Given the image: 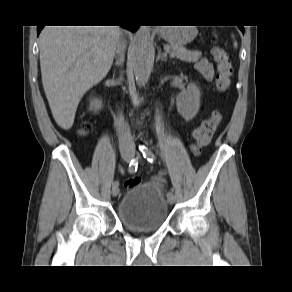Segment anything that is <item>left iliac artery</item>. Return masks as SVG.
I'll return each mask as SVG.
<instances>
[{
  "label": "left iliac artery",
  "instance_id": "obj_1",
  "mask_svg": "<svg viewBox=\"0 0 292 292\" xmlns=\"http://www.w3.org/2000/svg\"><path fill=\"white\" fill-rule=\"evenodd\" d=\"M140 151L142 152L143 154V157L150 163H153L155 161V155L153 154L152 151H150L147 147L145 146H141L140 147ZM173 195V190H170L168 193H167V197Z\"/></svg>",
  "mask_w": 292,
  "mask_h": 292
}]
</instances>
